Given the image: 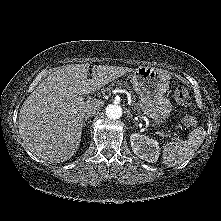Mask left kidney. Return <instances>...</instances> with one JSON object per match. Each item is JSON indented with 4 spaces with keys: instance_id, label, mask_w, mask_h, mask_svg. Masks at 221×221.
Masks as SVG:
<instances>
[{
    "instance_id": "1",
    "label": "left kidney",
    "mask_w": 221,
    "mask_h": 221,
    "mask_svg": "<svg viewBox=\"0 0 221 221\" xmlns=\"http://www.w3.org/2000/svg\"><path fill=\"white\" fill-rule=\"evenodd\" d=\"M130 143L134 154L142 160L153 163L160 154L159 143L145 135L135 133L130 136Z\"/></svg>"
}]
</instances>
